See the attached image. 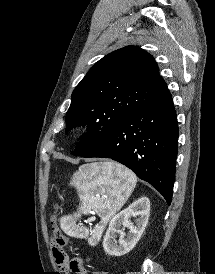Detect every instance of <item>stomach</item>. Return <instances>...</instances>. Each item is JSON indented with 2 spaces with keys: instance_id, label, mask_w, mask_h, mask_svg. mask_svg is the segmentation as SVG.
<instances>
[{
  "instance_id": "1",
  "label": "stomach",
  "mask_w": 215,
  "mask_h": 274,
  "mask_svg": "<svg viewBox=\"0 0 215 274\" xmlns=\"http://www.w3.org/2000/svg\"><path fill=\"white\" fill-rule=\"evenodd\" d=\"M113 165L115 166V165H117L116 163H113Z\"/></svg>"
}]
</instances>
